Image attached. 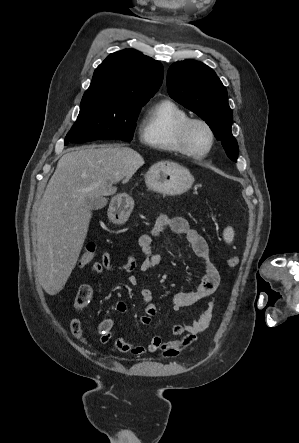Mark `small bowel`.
<instances>
[{"instance_id": "1", "label": "small bowel", "mask_w": 299, "mask_h": 443, "mask_svg": "<svg viewBox=\"0 0 299 443\" xmlns=\"http://www.w3.org/2000/svg\"><path fill=\"white\" fill-rule=\"evenodd\" d=\"M170 229L174 234L184 236L191 246L194 254L202 262L205 275L195 291L179 292L172 299V310L178 312L183 308L197 303L203 298L212 297L207 307L202 312L200 318L191 324H176L172 327L174 336H181L180 339L165 341L160 336L151 337L147 345H141L135 342H128L122 337L113 338L114 321L111 318L102 320L98 325V332L102 344L110 345L113 350L121 353L132 354L135 356L161 351L166 357L179 355L184 349L189 348L197 339L198 334L203 332L211 323L216 306L213 297L221 289V275L218 267L214 263L210 249L205 238L196 230L191 228L187 221L182 217H171L166 214L159 215L154 224L151 234H142L138 238V248L144 256V260L138 263L135 257L128 256L126 261L121 264L114 263L109 253L102 254L101 262H95L90 265L92 276H99L104 270L110 272H128L131 275L128 281L131 286H136L139 282V274L148 269L157 266L162 261V256L154 251L152 239L158 237L164 230ZM140 295L145 303V314L140 317L142 325H149L152 317L157 313V307L152 302V292L147 288L140 290ZM93 298V289L89 284H82L75 299V308L78 313H82ZM127 305L123 301L115 304V310L124 314L127 312ZM70 331L74 338L83 345L87 341L83 336L81 321L78 317L70 321Z\"/></svg>"}]
</instances>
